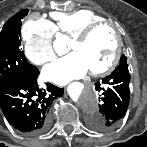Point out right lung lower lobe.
Segmentation results:
<instances>
[{"instance_id":"right-lung-lower-lobe-1","label":"right lung lower lobe","mask_w":147,"mask_h":147,"mask_svg":"<svg viewBox=\"0 0 147 147\" xmlns=\"http://www.w3.org/2000/svg\"><path fill=\"white\" fill-rule=\"evenodd\" d=\"M39 70L0 85V107L7 121L18 131L37 135L49 127V106L63 95L64 89L47 84V91L37 84Z\"/></svg>"}]
</instances>
